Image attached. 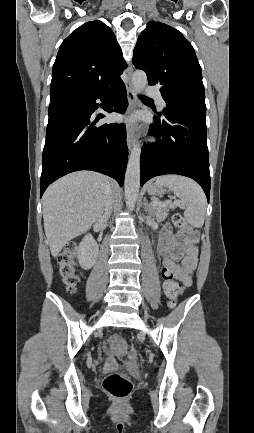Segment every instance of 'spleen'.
<instances>
[{
  "instance_id": "1",
  "label": "spleen",
  "mask_w": 254,
  "mask_h": 433,
  "mask_svg": "<svg viewBox=\"0 0 254 433\" xmlns=\"http://www.w3.org/2000/svg\"><path fill=\"white\" fill-rule=\"evenodd\" d=\"M155 184L168 187L180 198L185 209L184 217L191 226H203L207 201L202 188L194 180L179 175H164L158 177Z\"/></svg>"
}]
</instances>
